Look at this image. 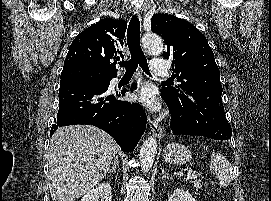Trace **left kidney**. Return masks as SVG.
Wrapping results in <instances>:
<instances>
[{"label": "left kidney", "mask_w": 271, "mask_h": 201, "mask_svg": "<svg viewBox=\"0 0 271 201\" xmlns=\"http://www.w3.org/2000/svg\"><path fill=\"white\" fill-rule=\"evenodd\" d=\"M168 201H196L193 196L180 188L174 190V192L170 195Z\"/></svg>", "instance_id": "5707ae66"}]
</instances>
